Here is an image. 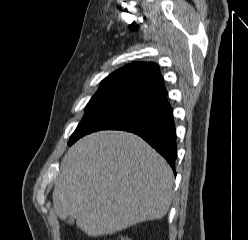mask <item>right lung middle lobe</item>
I'll return each mask as SVG.
<instances>
[{"label":"right lung middle lobe","mask_w":248,"mask_h":240,"mask_svg":"<svg viewBox=\"0 0 248 240\" xmlns=\"http://www.w3.org/2000/svg\"><path fill=\"white\" fill-rule=\"evenodd\" d=\"M137 100L133 97L108 91H97L85 107V115L70 137L69 144L84 136L103 118L115 113Z\"/></svg>","instance_id":"obj_1"}]
</instances>
